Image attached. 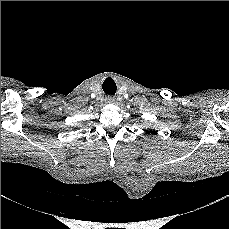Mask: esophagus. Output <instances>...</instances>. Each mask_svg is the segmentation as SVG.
Listing matches in <instances>:
<instances>
[{
  "instance_id": "34e87169",
  "label": "esophagus",
  "mask_w": 229,
  "mask_h": 229,
  "mask_svg": "<svg viewBox=\"0 0 229 229\" xmlns=\"http://www.w3.org/2000/svg\"><path fill=\"white\" fill-rule=\"evenodd\" d=\"M114 97H112V96H107L106 97V101L108 102V103H113L114 102Z\"/></svg>"
}]
</instances>
